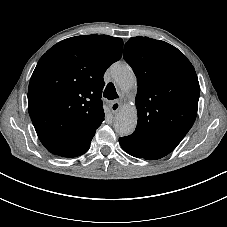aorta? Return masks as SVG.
Masks as SVG:
<instances>
[{
	"instance_id": "762f6f07",
	"label": "aorta",
	"mask_w": 227,
	"mask_h": 227,
	"mask_svg": "<svg viewBox=\"0 0 227 227\" xmlns=\"http://www.w3.org/2000/svg\"><path fill=\"white\" fill-rule=\"evenodd\" d=\"M111 75L115 83L125 92L131 90L136 84L135 74L127 63H114L111 67ZM136 125L137 111L134 106L123 107L114 120V129L120 136L132 134Z\"/></svg>"
}]
</instances>
